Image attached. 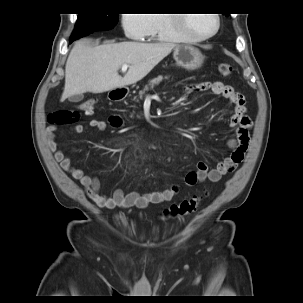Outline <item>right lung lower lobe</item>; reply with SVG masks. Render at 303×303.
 I'll return each instance as SVG.
<instances>
[{
	"mask_svg": "<svg viewBox=\"0 0 303 303\" xmlns=\"http://www.w3.org/2000/svg\"><path fill=\"white\" fill-rule=\"evenodd\" d=\"M74 40H76V39H71V38H70V43H71L72 41H74Z\"/></svg>",
	"mask_w": 303,
	"mask_h": 303,
	"instance_id": "98d812e1",
	"label": "right lung lower lobe"
}]
</instances>
